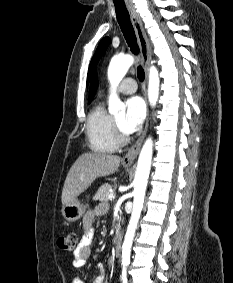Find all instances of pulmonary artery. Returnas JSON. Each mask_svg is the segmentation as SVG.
Wrapping results in <instances>:
<instances>
[{"label":"pulmonary artery","instance_id":"obj_1","mask_svg":"<svg viewBox=\"0 0 233 283\" xmlns=\"http://www.w3.org/2000/svg\"><path fill=\"white\" fill-rule=\"evenodd\" d=\"M137 90V83L133 78L124 79L118 87V92L132 94Z\"/></svg>","mask_w":233,"mask_h":283}]
</instances>
